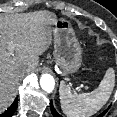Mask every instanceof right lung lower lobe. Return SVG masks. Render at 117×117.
Listing matches in <instances>:
<instances>
[{"mask_svg":"<svg viewBox=\"0 0 117 117\" xmlns=\"http://www.w3.org/2000/svg\"><path fill=\"white\" fill-rule=\"evenodd\" d=\"M18 105V99L16 98L13 104L3 113L0 115V117H11Z\"/></svg>","mask_w":117,"mask_h":117,"instance_id":"1","label":"right lung lower lobe"}]
</instances>
